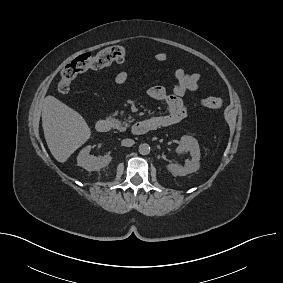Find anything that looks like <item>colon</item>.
I'll list each match as a JSON object with an SVG mask.
<instances>
[{"mask_svg":"<svg viewBox=\"0 0 283 283\" xmlns=\"http://www.w3.org/2000/svg\"><path fill=\"white\" fill-rule=\"evenodd\" d=\"M126 49L115 45L107 47L97 54L84 53L69 62L61 71V78L57 84V90L66 94L71 88L73 80L81 73L89 69H98L114 62H121L126 57ZM200 104L211 109H221L223 101L218 97H207L200 100Z\"/></svg>","mask_w":283,"mask_h":283,"instance_id":"obj_1","label":"colon"}]
</instances>
